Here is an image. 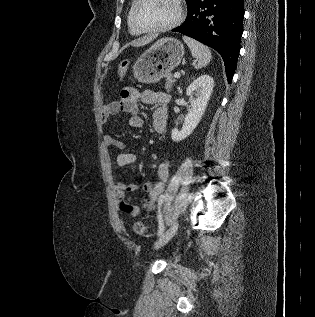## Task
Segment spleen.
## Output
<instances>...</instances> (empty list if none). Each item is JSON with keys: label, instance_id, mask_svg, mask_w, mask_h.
I'll list each match as a JSON object with an SVG mask.
<instances>
[{"label": "spleen", "instance_id": "1", "mask_svg": "<svg viewBox=\"0 0 315 317\" xmlns=\"http://www.w3.org/2000/svg\"><path fill=\"white\" fill-rule=\"evenodd\" d=\"M182 38L190 48L192 56L197 60V64L194 66L195 69H201L207 66L212 59L210 49L190 37L183 36Z\"/></svg>", "mask_w": 315, "mask_h": 317}]
</instances>
